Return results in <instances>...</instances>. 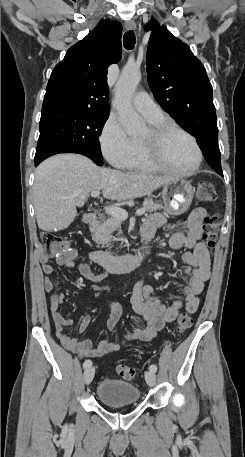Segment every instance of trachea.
Instances as JSON below:
<instances>
[{
  "label": "trachea",
  "mask_w": 245,
  "mask_h": 457,
  "mask_svg": "<svg viewBox=\"0 0 245 457\" xmlns=\"http://www.w3.org/2000/svg\"><path fill=\"white\" fill-rule=\"evenodd\" d=\"M136 39L133 30H129L123 37V44L127 50H132L135 46Z\"/></svg>",
  "instance_id": "1"
}]
</instances>
